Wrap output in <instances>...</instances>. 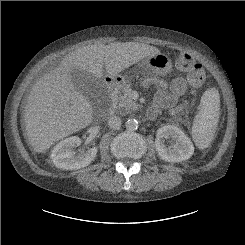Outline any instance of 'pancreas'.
Instances as JSON below:
<instances>
[{
    "mask_svg": "<svg viewBox=\"0 0 245 245\" xmlns=\"http://www.w3.org/2000/svg\"><path fill=\"white\" fill-rule=\"evenodd\" d=\"M131 92L132 90L128 84L123 88L122 93H120L117 99L118 109L120 112L131 113L137 109L138 105L131 98Z\"/></svg>",
    "mask_w": 245,
    "mask_h": 245,
    "instance_id": "obj_1",
    "label": "pancreas"
}]
</instances>
